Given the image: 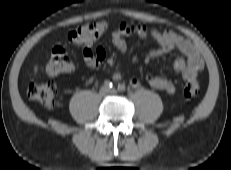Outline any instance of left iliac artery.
<instances>
[{
    "label": "left iliac artery",
    "instance_id": "obj_1",
    "mask_svg": "<svg viewBox=\"0 0 231 170\" xmlns=\"http://www.w3.org/2000/svg\"><path fill=\"white\" fill-rule=\"evenodd\" d=\"M125 89H126V87H125V85H124V84H118V86H117V90H118L119 92H124V91H125Z\"/></svg>",
    "mask_w": 231,
    "mask_h": 170
}]
</instances>
